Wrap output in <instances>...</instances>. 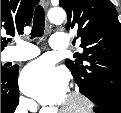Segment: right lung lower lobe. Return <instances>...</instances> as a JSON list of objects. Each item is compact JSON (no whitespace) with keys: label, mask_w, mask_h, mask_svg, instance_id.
Listing matches in <instances>:
<instances>
[{"label":"right lung lower lobe","mask_w":121,"mask_h":113,"mask_svg":"<svg viewBox=\"0 0 121 113\" xmlns=\"http://www.w3.org/2000/svg\"><path fill=\"white\" fill-rule=\"evenodd\" d=\"M18 67L1 73V113H14L19 100Z\"/></svg>","instance_id":"1"}]
</instances>
